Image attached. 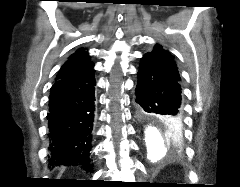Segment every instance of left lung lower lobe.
Returning <instances> with one entry per match:
<instances>
[{"instance_id":"1","label":"left lung lower lobe","mask_w":240,"mask_h":187,"mask_svg":"<svg viewBox=\"0 0 240 187\" xmlns=\"http://www.w3.org/2000/svg\"><path fill=\"white\" fill-rule=\"evenodd\" d=\"M135 91L139 119L164 121L170 135L175 138L176 132L182 129L180 81L173 78L151 56L144 55ZM170 143L179 148L175 143Z\"/></svg>"}]
</instances>
